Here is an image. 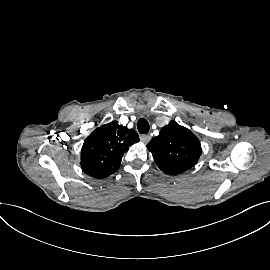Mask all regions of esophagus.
<instances>
[{
	"instance_id": "esophagus-1",
	"label": "esophagus",
	"mask_w": 270,
	"mask_h": 270,
	"mask_svg": "<svg viewBox=\"0 0 270 270\" xmlns=\"http://www.w3.org/2000/svg\"><path fill=\"white\" fill-rule=\"evenodd\" d=\"M140 140L146 144L151 140V136L149 134H143L140 136Z\"/></svg>"
}]
</instances>
